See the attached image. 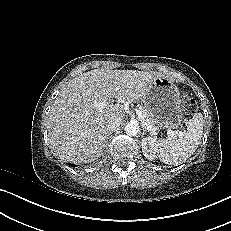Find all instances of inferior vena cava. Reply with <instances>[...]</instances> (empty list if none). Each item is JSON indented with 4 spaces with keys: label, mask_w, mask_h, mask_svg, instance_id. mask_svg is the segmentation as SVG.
<instances>
[{
    "label": "inferior vena cava",
    "mask_w": 231,
    "mask_h": 231,
    "mask_svg": "<svg viewBox=\"0 0 231 231\" xmlns=\"http://www.w3.org/2000/svg\"><path fill=\"white\" fill-rule=\"evenodd\" d=\"M120 124H121V121L118 119H114V120L109 121L106 125V129H107L108 133L115 132L118 129V127L120 126Z\"/></svg>",
    "instance_id": "1"
}]
</instances>
